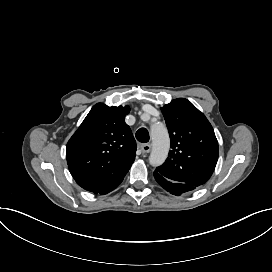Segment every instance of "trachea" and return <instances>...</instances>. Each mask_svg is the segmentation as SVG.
I'll use <instances>...</instances> for the list:
<instances>
[{"mask_svg":"<svg viewBox=\"0 0 272 272\" xmlns=\"http://www.w3.org/2000/svg\"><path fill=\"white\" fill-rule=\"evenodd\" d=\"M136 138L138 141L142 142V143H146L149 141V133L147 131L146 128H140L137 132H136Z\"/></svg>","mask_w":272,"mask_h":272,"instance_id":"trachea-1","label":"trachea"}]
</instances>
